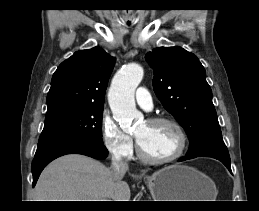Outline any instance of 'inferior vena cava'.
I'll use <instances>...</instances> for the list:
<instances>
[{
	"label": "inferior vena cava",
	"instance_id": "602c4592",
	"mask_svg": "<svg viewBox=\"0 0 259 211\" xmlns=\"http://www.w3.org/2000/svg\"><path fill=\"white\" fill-rule=\"evenodd\" d=\"M111 168L115 176L121 179L128 171L129 166H128V162L124 160L119 154H114L112 156Z\"/></svg>",
	"mask_w": 259,
	"mask_h": 211
}]
</instances>
